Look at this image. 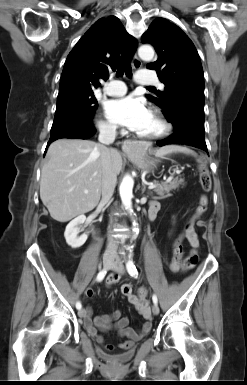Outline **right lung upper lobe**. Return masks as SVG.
Here are the masks:
<instances>
[{"mask_svg": "<svg viewBox=\"0 0 247 385\" xmlns=\"http://www.w3.org/2000/svg\"><path fill=\"white\" fill-rule=\"evenodd\" d=\"M138 42L115 16L101 18L82 36L69 53L61 75L59 92L93 91L107 80L109 71L130 60Z\"/></svg>", "mask_w": 247, "mask_h": 385, "instance_id": "1", "label": "right lung upper lobe"}]
</instances>
